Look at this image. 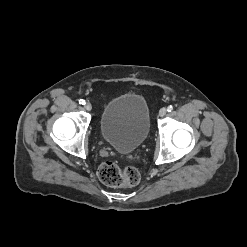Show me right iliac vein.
Listing matches in <instances>:
<instances>
[{
    "mask_svg": "<svg viewBox=\"0 0 247 247\" xmlns=\"http://www.w3.org/2000/svg\"><path fill=\"white\" fill-rule=\"evenodd\" d=\"M84 107L87 111H91L92 109V105L89 102H87Z\"/></svg>",
    "mask_w": 247,
    "mask_h": 247,
    "instance_id": "1",
    "label": "right iliac vein"
}]
</instances>
